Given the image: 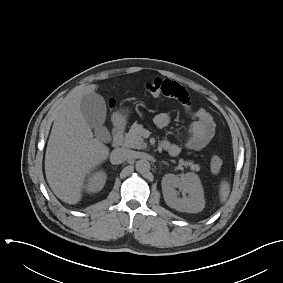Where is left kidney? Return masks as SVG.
I'll return each mask as SVG.
<instances>
[{
    "label": "left kidney",
    "mask_w": 283,
    "mask_h": 283,
    "mask_svg": "<svg viewBox=\"0 0 283 283\" xmlns=\"http://www.w3.org/2000/svg\"><path fill=\"white\" fill-rule=\"evenodd\" d=\"M161 184L164 200L171 208L188 213H198L204 209V192L197 174L189 172L181 177L166 174ZM176 188L182 191V198L178 197Z\"/></svg>",
    "instance_id": "5707ae66"
}]
</instances>
